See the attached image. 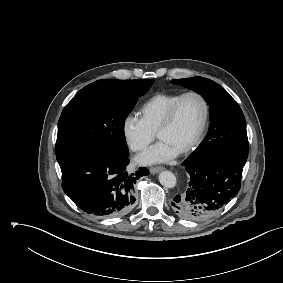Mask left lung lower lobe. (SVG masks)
<instances>
[{"label": "left lung lower lobe", "mask_w": 283, "mask_h": 283, "mask_svg": "<svg viewBox=\"0 0 283 283\" xmlns=\"http://www.w3.org/2000/svg\"><path fill=\"white\" fill-rule=\"evenodd\" d=\"M246 159L214 155L182 163L190 175L187 191L174 197L172 210L181 218L205 220L215 215L240 190Z\"/></svg>", "instance_id": "0a47b994"}]
</instances>
